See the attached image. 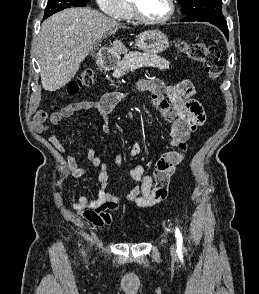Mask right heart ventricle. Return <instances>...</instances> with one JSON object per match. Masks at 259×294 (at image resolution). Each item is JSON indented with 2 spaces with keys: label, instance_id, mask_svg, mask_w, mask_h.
Instances as JSON below:
<instances>
[{
  "label": "right heart ventricle",
  "instance_id": "e07e8e85",
  "mask_svg": "<svg viewBox=\"0 0 259 294\" xmlns=\"http://www.w3.org/2000/svg\"><path fill=\"white\" fill-rule=\"evenodd\" d=\"M121 19L126 20V21L134 20V15H133V12H132V9H131V6H130L128 0H126V10H125V13L123 14Z\"/></svg>",
  "mask_w": 259,
  "mask_h": 294
}]
</instances>
